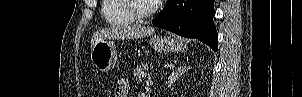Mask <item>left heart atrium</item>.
<instances>
[{
    "label": "left heart atrium",
    "mask_w": 302,
    "mask_h": 97,
    "mask_svg": "<svg viewBox=\"0 0 302 97\" xmlns=\"http://www.w3.org/2000/svg\"><path fill=\"white\" fill-rule=\"evenodd\" d=\"M152 4H159L162 0H149Z\"/></svg>",
    "instance_id": "1"
}]
</instances>
